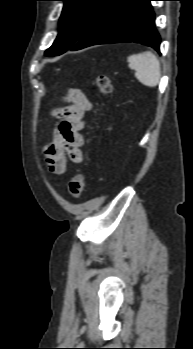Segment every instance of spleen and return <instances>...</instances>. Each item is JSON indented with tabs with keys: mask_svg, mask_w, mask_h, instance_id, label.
Returning <instances> with one entry per match:
<instances>
[{
	"mask_svg": "<svg viewBox=\"0 0 193 349\" xmlns=\"http://www.w3.org/2000/svg\"><path fill=\"white\" fill-rule=\"evenodd\" d=\"M130 69L135 70V77L143 85L155 87L161 77L160 62L150 51L133 54L128 57Z\"/></svg>",
	"mask_w": 193,
	"mask_h": 349,
	"instance_id": "spleen-1",
	"label": "spleen"
}]
</instances>
